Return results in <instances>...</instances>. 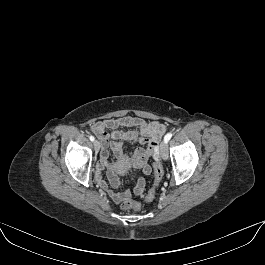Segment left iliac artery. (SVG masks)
I'll use <instances>...</instances> for the list:
<instances>
[{"instance_id": "left-iliac-artery-1", "label": "left iliac artery", "mask_w": 265, "mask_h": 265, "mask_svg": "<svg viewBox=\"0 0 265 265\" xmlns=\"http://www.w3.org/2000/svg\"><path fill=\"white\" fill-rule=\"evenodd\" d=\"M172 138V133H167L164 137V142L168 143V141Z\"/></svg>"}]
</instances>
